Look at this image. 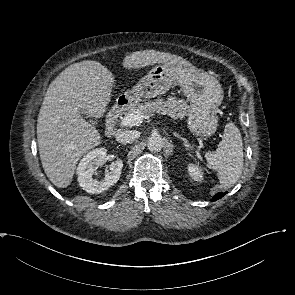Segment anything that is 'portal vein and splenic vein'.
I'll list each match as a JSON object with an SVG mask.
<instances>
[{"mask_svg":"<svg viewBox=\"0 0 295 295\" xmlns=\"http://www.w3.org/2000/svg\"><path fill=\"white\" fill-rule=\"evenodd\" d=\"M143 118H144V115L141 112L136 111L134 113H130L126 115L120 124L124 127L139 126L142 123Z\"/></svg>","mask_w":295,"mask_h":295,"instance_id":"portal-vein-and-splenic-vein-1","label":"portal vein and splenic vein"}]
</instances>
